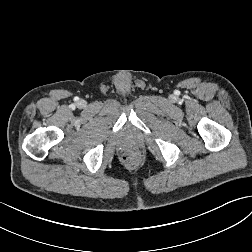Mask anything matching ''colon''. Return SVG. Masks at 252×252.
Returning <instances> with one entry per match:
<instances>
[{"label":"colon","mask_w":252,"mask_h":252,"mask_svg":"<svg viewBox=\"0 0 252 252\" xmlns=\"http://www.w3.org/2000/svg\"><path fill=\"white\" fill-rule=\"evenodd\" d=\"M138 159V156L135 153H127L124 156V160L127 162H135Z\"/></svg>","instance_id":"colon-1"}]
</instances>
